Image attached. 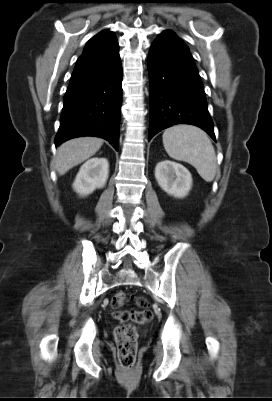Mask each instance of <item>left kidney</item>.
Here are the masks:
<instances>
[{
    "label": "left kidney",
    "mask_w": 272,
    "mask_h": 401,
    "mask_svg": "<svg viewBox=\"0 0 272 401\" xmlns=\"http://www.w3.org/2000/svg\"><path fill=\"white\" fill-rule=\"evenodd\" d=\"M155 178L162 190L176 198L187 196L192 187L191 173L183 165L170 160L156 165Z\"/></svg>",
    "instance_id": "obj_1"
}]
</instances>
